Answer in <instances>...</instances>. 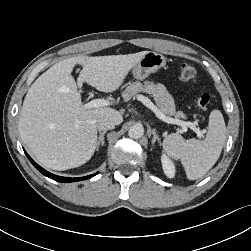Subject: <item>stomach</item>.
Returning a JSON list of instances; mask_svg holds the SVG:
<instances>
[{"instance_id": "stomach-1", "label": "stomach", "mask_w": 251, "mask_h": 251, "mask_svg": "<svg viewBox=\"0 0 251 251\" xmlns=\"http://www.w3.org/2000/svg\"><path fill=\"white\" fill-rule=\"evenodd\" d=\"M166 65V58L157 52L147 51V53L131 69L134 78L143 80L151 73L157 72Z\"/></svg>"}]
</instances>
